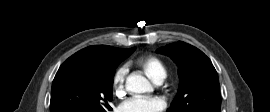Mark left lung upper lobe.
<instances>
[{
	"mask_svg": "<svg viewBox=\"0 0 270 112\" xmlns=\"http://www.w3.org/2000/svg\"><path fill=\"white\" fill-rule=\"evenodd\" d=\"M179 67V89L167 112H220L219 79L210 59L196 47L174 42L157 49Z\"/></svg>",
	"mask_w": 270,
	"mask_h": 112,
	"instance_id": "1",
	"label": "left lung upper lobe"
}]
</instances>
